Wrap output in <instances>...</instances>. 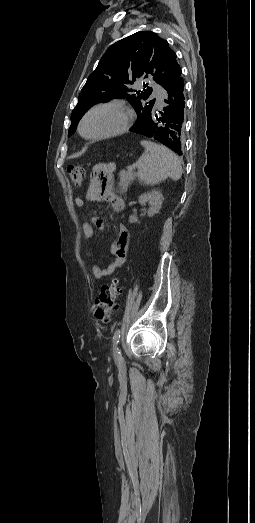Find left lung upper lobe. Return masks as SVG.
Instances as JSON below:
<instances>
[{
    "label": "left lung upper lobe",
    "instance_id": "left-lung-upper-lobe-1",
    "mask_svg": "<svg viewBox=\"0 0 255 523\" xmlns=\"http://www.w3.org/2000/svg\"><path fill=\"white\" fill-rule=\"evenodd\" d=\"M181 73L175 52L169 48L166 40L154 32H137L116 42L103 55L82 88L71 114L68 137L76 131L79 120L90 107L115 98H127L137 111L138 118L130 129L133 132L150 118V111L157 109V105L155 99L147 101L152 92L148 84H144L146 88L142 91L133 89L131 84L137 79L153 78L166 92V89L178 85V81L182 80Z\"/></svg>",
    "mask_w": 255,
    "mask_h": 523
}]
</instances>
